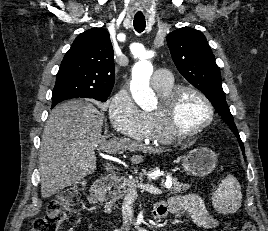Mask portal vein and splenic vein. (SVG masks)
I'll list each match as a JSON object with an SVG mask.
<instances>
[{"label": "portal vein and splenic vein", "mask_w": 268, "mask_h": 231, "mask_svg": "<svg viewBox=\"0 0 268 231\" xmlns=\"http://www.w3.org/2000/svg\"><path fill=\"white\" fill-rule=\"evenodd\" d=\"M113 168H115V167L113 166ZM136 188H139V189L144 190V191H146L148 193H151V194H156V195L162 194V191L159 188H157L156 186H154V185L142 184V183H134V182L132 183V187L130 188L129 191L130 192H135Z\"/></svg>", "instance_id": "portal-vein-and-splenic-vein-1"}]
</instances>
